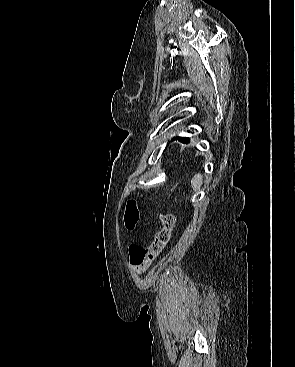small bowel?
I'll use <instances>...</instances> for the list:
<instances>
[{
	"mask_svg": "<svg viewBox=\"0 0 295 367\" xmlns=\"http://www.w3.org/2000/svg\"><path fill=\"white\" fill-rule=\"evenodd\" d=\"M149 266H150V264L133 265V268H134L135 272L141 274V273L145 272L148 269Z\"/></svg>",
	"mask_w": 295,
	"mask_h": 367,
	"instance_id": "small-bowel-1",
	"label": "small bowel"
}]
</instances>
